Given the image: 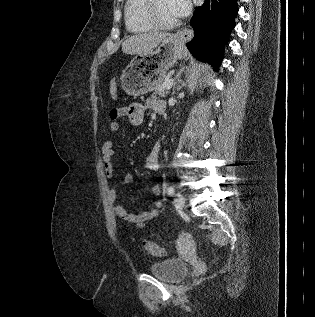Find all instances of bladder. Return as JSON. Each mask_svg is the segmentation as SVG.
I'll return each instance as SVG.
<instances>
[{
  "instance_id": "obj_1",
  "label": "bladder",
  "mask_w": 315,
  "mask_h": 317,
  "mask_svg": "<svg viewBox=\"0 0 315 317\" xmlns=\"http://www.w3.org/2000/svg\"><path fill=\"white\" fill-rule=\"evenodd\" d=\"M150 273L167 282L181 280L187 272V264L180 258H170L151 264Z\"/></svg>"
}]
</instances>
